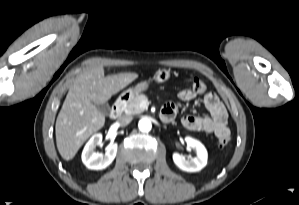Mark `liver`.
<instances>
[{"instance_id":"obj_1","label":"liver","mask_w":299,"mask_h":205,"mask_svg":"<svg viewBox=\"0 0 299 205\" xmlns=\"http://www.w3.org/2000/svg\"><path fill=\"white\" fill-rule=\"evenodd\" d=\"M136 78L137 73L105 77L100 65L87 69L75 79L55 125L57 148L64 160H71L83 143L104 126L105 116L95 104L106 103Z\"/></svg>"}]
</instances>
